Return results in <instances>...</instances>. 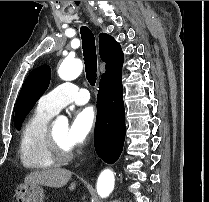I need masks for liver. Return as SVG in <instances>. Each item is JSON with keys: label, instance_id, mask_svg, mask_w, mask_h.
Returning a JSON list of instances; mask_svg holds the SVG:
<instances>
[{"label": "liver", "instance_id": "obj_1", "mask_svg": "<svg viewBox=\"0 0 209 202\" xmlns=\"http://www.w3.org/2000/svg\"><path fill=\"white\" fill-rule=\"evenodd\" d=\"M72 172L67 169L53 168L40 171H34L26 175L25 184H38L53 188H61L70 180ZM76 182L71 183L69 190L73 191Z\"/></svg>", "mask_w": 209, "mask_h": 202}]
</instances>
